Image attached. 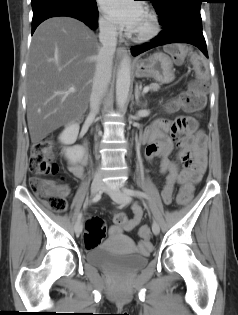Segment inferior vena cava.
Returning a JSON list of instances; mask_svg holds the SVG:
<instances>
[{
	"instance_id": "602c4592",
	"label": "inferior vena cava",
	"mask_w": 238,
	"mask_h": 315,
	"mask_svg": "<svg viewBox=\"0 0 238 315\" xmlns=\"http://www.w3.org/2000/svg\"><path fill=\"white\" fill-rule=\"evenodd\" d=\"M99 41L102 45L100 48L95 74L93 77L92 91L90 95V116H95L100 108V102L103 95L108 89L112 75L113 56L117 45V29L110 22H102L99 25ZM95 179H101L102 174L97 171Z\"/></svg>"
}]
</instances>
